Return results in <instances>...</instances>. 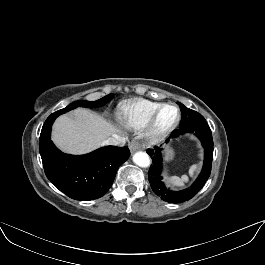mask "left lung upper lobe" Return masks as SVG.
<instances>
[{"label":"left lung upper lobe","mask_w":265,"mask_h":265,"mask_svg":"<svg viewBox=\"0 0 265 265\" xmlns=\"http://www.w3.org/2000/svg\"><path fill=\"white\" fill-rule=\"evenodd\" d=\"M178 105L180 106L181 113H182V118H181L179 128L186 127L194 123L197 120L204 119V117L201 114L185 107L182 103L178 102Z\"/></svg>","instance_id":"5c2ea615"}]
</instances>
